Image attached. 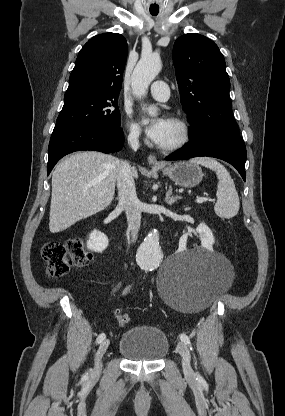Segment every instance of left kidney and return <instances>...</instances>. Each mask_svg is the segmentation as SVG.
<instances>
[{
    "label": "left kidney",
    "mask_w": 285,
    "mask_h": 416,
    "mask_svg": "<svg viewBox=\"0 0 285 416\" xmlns=\"http://www.w3.org/2000/svg\"><path fill=\"white\" fill-rule=\"evenodd\" d=\"M195 232H197V234H199L201 238L202 248H206V250H212L213 244H214V236L210 228H208L206 224H199ZM186 244H187V238L186 236H182V238H180L179 240V246H181V248H186Z\"/></svg>",
    "instance_id": "1"
}]
</instances>
